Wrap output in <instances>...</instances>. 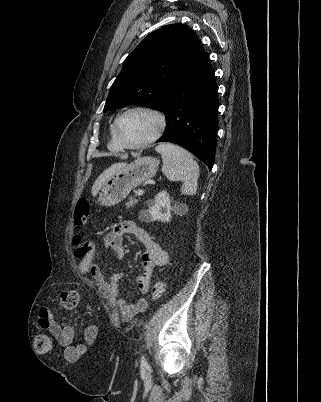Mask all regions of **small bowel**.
<instances>
[{
  "label": "small bowel",
  "instance_id": "c3829d8e",
  "mask_svg": "<svg viewBox=\"0 0 321 402\" xmlns=\"http://www.w3.org/2000/svg\"><path fill=\"white\" fill-rule=\"evenodd\" d=\"M124 235H132L137 238L145 247L141 255L142 272L136 280V290L140 295L133 303H127L118 292V284L122 275L114 273L107 282L110 294L119 309L120 318L124 322L131 321L136 315L146 309V300L142 297L150 287L151 274L156 267L164 266L168 263L169 255L156 241L150 233L137 225L133 221H123L113 226L103 238V248L112 253L117 259L125 256L123 243ZM91 276L98 282L106 283L105 274L98 264H94L90 269ZM39 325L49 330L58 338L64 348L65 359L72 361L85 356L86 347L95 346V337L99 333L96 324H88L83 332L85 338L83 344L74 343L73 327L68 322H57L54 319V312L49 306H42L39 310Z\"/></svg>",
  "mask_w": 321,
  "mask_h": 402
}]
</instances>
